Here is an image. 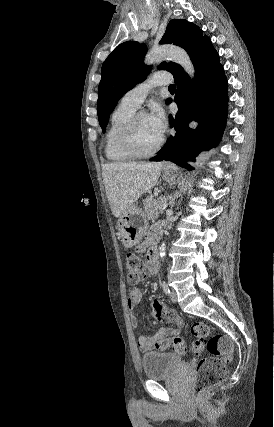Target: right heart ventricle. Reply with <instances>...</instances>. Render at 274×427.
I'll return each mask as SVG.
<instances>
[{
  "instance_id": "e07e8e85",
  "label": "right heart ventricle",
  "mask_w": 274,
  "mask_h": 427,
  "mask_svg": "<svg viewBox=\"0 0 274 427\" xmlns=\"http://www.w3.org/2000/svg\"><path fill=\"white\" fill-rule=\"evenodd\" d=\"M134 113L135 110L119 105L111 117V122L105 135L104 153L107 160L112 163L122 164L132 160L121 145V134Z\"/></svg>"
}]
</instances>
